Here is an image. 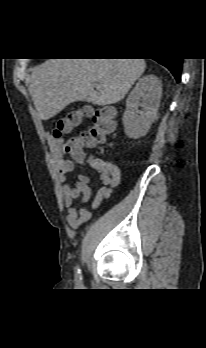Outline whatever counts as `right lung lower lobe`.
<instances>
[{
	"mask_svg": "<svg viewBox=\"0 0 206 348\" xmlns=\"http://www.w3.org/2000/svg\"><path fill=\"white\" fill-rule=\"evenodd\" d=\"M156 61L164 65L165 67H167L170 70V72L173 74L177 82L180 81L183 59L163 58Z\"/></svg>",
	"mask_w": 206,
	"mask_h": 348,
	"instance_id": "right-lung-lower-lobe-1",
	"label": "right lung lower lobe"
}]
</instances>
